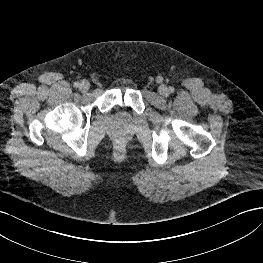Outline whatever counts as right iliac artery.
Masks as SVG:
<instances>
[{"label":"right iliac artery","mask_w":263,"mask_h":263,"mask_svg":"<svg viewBox=\"0 0 263 263\" xmlns=\"http://www.w3.org/2000/svg\"><path fill=\"white\" fill-rule=\"evenodd\" d=\"M73 86L77 88V87H79V83L78 82H74Z\"/></svg>","instance_id":"82829eb1"}]
</instances>
